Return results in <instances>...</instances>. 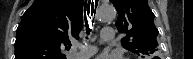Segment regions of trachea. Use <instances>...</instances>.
<instances>
[{
  "label": "trachea",
  "mask_w": 193,
  "mask_h": 59,
  "mask_svg": "<svg viewBox=\"0 0 193 59\" xmlns=\"http://www.w3.org/2000/svg\"><path fill=\"white\" fill-rule=\"evenodd\" d=\"M96 5H95V10H94V4L92 3L91 5H90V2L88 3V5H87V3H86V5H85V22H86V34L88 35L89 34V32H90V28H89V25H88V20H87V16H88V18H90L91 19V16L93 15V13L96 11ZM86 11H87V16H86Z\"/></svg>",
  "instance_id": "1"
}]
</instances>
